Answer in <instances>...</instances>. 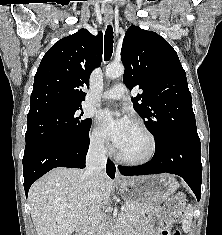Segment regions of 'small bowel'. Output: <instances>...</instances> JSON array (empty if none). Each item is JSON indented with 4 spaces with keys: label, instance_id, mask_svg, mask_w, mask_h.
I'll return each instance as SVG.
<instances>
[{
    "label": "small bowel",
    "instance_id": "small-bowel-1",
    "mask_svg": "<svg viewBox=\"0 0 222 235\" xmlns=\"http://www.w3.org/2000/svg\"><path fill=\"white\" fill-rule=\"evenodd\" d=\"M158 224L157 218L155 216L151 217L147 222V227L140 229L135 235H157L156 226Z\"/></svg>",
    "mask_w": 222,
    "mask_h": 235
}]
</instances>
